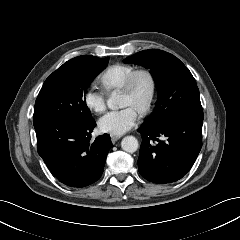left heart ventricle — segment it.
<instances>
[{"mask_svg": "<svg viewBox=\"0 0 240 240\" xmlns=\"http://www.w3.org/2000/svg\"><path fill=\"white\" fill-rule=\"evenodd\" d=\"M150 94V82L147 77L141 76L132 93H120L119 104L122 107H131L137 113L146 104Z\"/></svg>", "mask_w": 240, "mask_h": 240, "instance_id": "b2bd125f", "label": "left heart ventricle"}]
</instances>
